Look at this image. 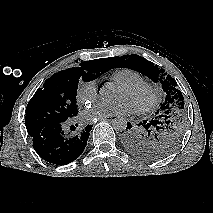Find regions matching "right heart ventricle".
Masks as SVG:
<instances>
[{
    "label": "right heart ventricle",
    "instance_id": "obj_1",
    "mask_svg": "<svg viewBox=\"0 0 213 213\" xmlns=\"http://www.w3.org/2000/svg\"><path fill=\"white\" fill-rule=\"evenodd\" d=\"M111 78L120 87L143 80V76L139 72L129 68H119L115 70Z\"/></svg>",
    "mask_w": 213,
    "mask_h": 213
}]
</instances>
